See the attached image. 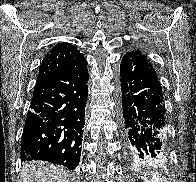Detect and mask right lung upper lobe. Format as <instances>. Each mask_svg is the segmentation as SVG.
<instances>
[{
	"label": "right lung upper lobe",
	"mask_w": 196,
	"mask_h": 182,
	"mask_svg": "<svg viewBox=\"0 0 196 182\" xmlns=\"http://www.w3.org/2000/svg\"><path fill=\"white\" fill-rule=\"evenodd\" d=\"M83 56L73 45L66 42L56 44L44 57L39 68L36 85L68 67L75 59Z\"/></svg>",
	"instance_id": "cb5924a9"
}]
</instances>
